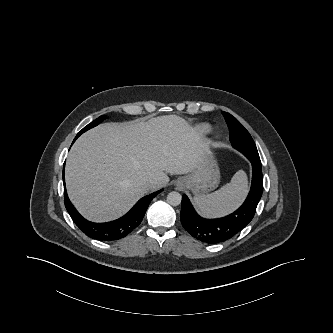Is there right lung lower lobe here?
Listing matches in <instances>:
<instances>
[{"label":"right lung lower lobe","instance_id":"1","mask_svg":"<svg viewBox=\"0 0 333 333\" xmlns=\"http://www.w3.org/2000/svg\"><path fill=\"white\" fill-rule=\"evenodd\" d=\"M77 138L78 137H75L74 141ZM63 182H64V203L73 222L87 236L100 241L118 240L125 237L131 231H133V229H135L141 223L151 200L162 191L159 190L141 198L126 215L115 221L107 223H93L84 219L70 202L65 187L64 170H63Z\"/></svg>","mask_w":333,"mask_h":333}]
</instances>
